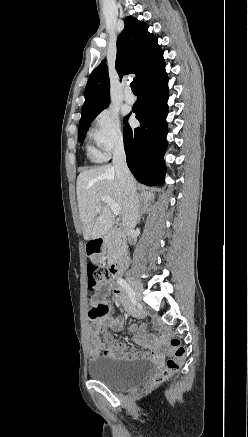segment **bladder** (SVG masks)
I'll use <instances>...</instances> for the list:
<instances>
[{
    "instance_id": "1",
    "label": "bladder",
    "mask_w": 248,
    "mask_h": 437,
    "mask_svg": "<svg viewBox=\"0 0 248 437\" xmlns=\"http://www.w3.org/2000/svg\"><path fill=\"white\" fill-rule=\"evenodd\" d=\"M155 371V364L148 359H117L106 356L90 368L89 374L92 379L111 389L123 390L146 381Z\"/></svg>"
}]
</instances>
